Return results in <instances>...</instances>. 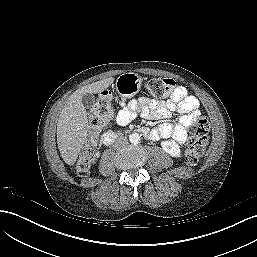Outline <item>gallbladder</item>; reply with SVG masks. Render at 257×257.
Here are the masks:
<instances>
[{
    "instance_id": "bac80fb5",
    "label": "gallbladder",
    "mask_w": 257,
    "mask_h": 257,
    "mask_svg": "<svg viewBox=\"0 0 257 257\" xmlns=\"http://www.w3.org/2000/svg\"><path fill=\"white\" fill-rule=\"evenodd\" d=\"M82 103L85 108L90 109L95 104V97L92 93H84L82 95Z\"/></svg>"
}]
</instances>
